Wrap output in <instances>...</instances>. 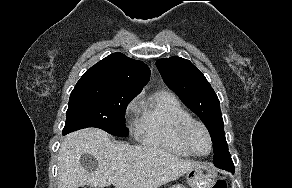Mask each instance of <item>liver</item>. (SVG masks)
<instances>
[{"label": "liver", "mask_w": 292, "mask_h": 188, "mask_svg": "<svg viewBox=\"0 0 292 188\" xmlns=\"http://www.w3.org/2000/svg\"><path fill=\"white\" fill-rule=\"evenodd\" d=\"M90 154L98 166L90 171L80 161ZM200 163L181 159L164 149L111 142L107 133L87 128L67 135L58 153V188H158L178 179ZM124 170L123 174L118 172Z\"/></svg>", "instance_id": "1"}]
</instances>
